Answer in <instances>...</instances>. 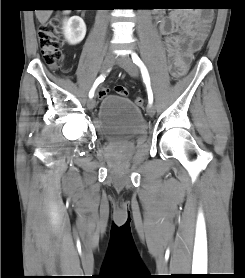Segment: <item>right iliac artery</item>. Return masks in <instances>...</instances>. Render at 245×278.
Instances as JSON below:
<instances>
[{
    "label": "right iliac artery",
    "mask_w": 245,
    "mask_h": 278,
    "mask_svg": "<svg viewBox=\"0 0 245 278\" xmlns=\"http://www.w3.org/2000/svg\"><path fill=\"white\" fill-rule=\"evenodd\" d=\"M104 79H105V76H104V75H101V76H99V77L96 79V81L94 82V85H93L92 89H91L90 92H89V97H90V98H92V97L94 96V91H95L96 87H97L100 83H102V82L104 81Z\"/></svg>",
    "instance_id": "82829eb1"
}]
</instances>
